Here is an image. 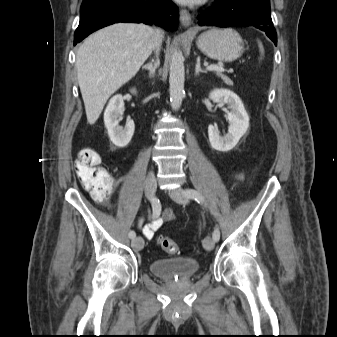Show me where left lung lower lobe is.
I'll return each instance as SVG.
<instances>
[{
	"mask_svg": "<svg viewBox=\"0 0 337 337\" xmlns=\"http://www.w3.org/2000/svg\"><path fill=\"white\" fill-rule=\"evenodd\" d=\"M200 26H254L277 45L269 0H215V5L198 16Z\"/></svg>",
	"mask_w": 337,
	"mask_h": 337,
	"instance_id": "obj_1",
	"label": "left lung lower lobe"
}]
</instances>
